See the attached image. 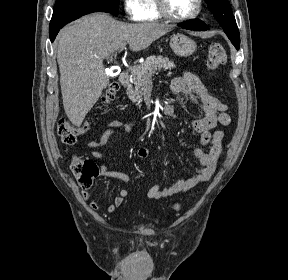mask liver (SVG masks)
<instances>
[{"label": "liver", "mask_w": 288, "mask_h": 280, "mask_svg": "<svg viewBox=\"0 0 288 280\" xmlns=\"http://www.w3.org/2000/svg\"><path fill=\"white\" fill-rule=\"evenodd\" d=\"M171 30L158 23H124L106 13H93L59 33L57 61L64 110L80 126L102 91L109 85L103 60L123 44L132 51L149 47Z\"/></svg>", "instance_id": "liver-1"}]
</instances>
